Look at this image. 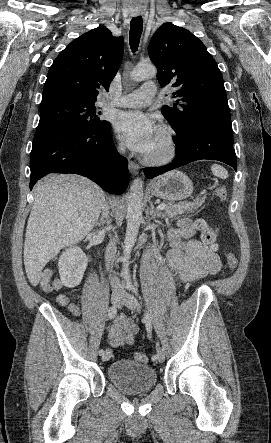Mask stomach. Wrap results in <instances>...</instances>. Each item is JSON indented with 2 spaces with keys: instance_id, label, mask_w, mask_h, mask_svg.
Wrapping results in <instances>:
<instances>
[{
  "instance_id": "obj_1",
  "label": "stomach",
  "mask_w": 271,
  "mask_h": 443,
  "mask_svg": "<svg viewBox=\"0 0 271 443\" xmlns=\"http://www.w3.org/2000/svg\"><path fill=\"white\" fill-rule=\"evenodd\" d=\"M193 190L190 178L183 172H178V170H173V172H168L161 178L153 180L150 188L152 196L169 200V202L185 200V198L191 196Z\"/></svg>"
}]
</instances>
